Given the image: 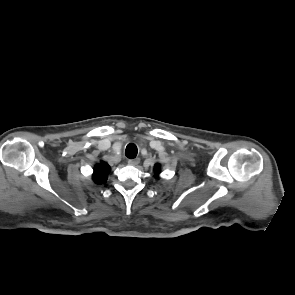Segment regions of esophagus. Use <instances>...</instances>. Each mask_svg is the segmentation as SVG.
Here are the masks:
<instances>
[{
	"label": "esophagus",
	"mask_w": 295,
	"mask_h": 295,
	"mask_svg": "<svg viewBox=\"0 0 295 295\" xmlns=\"http://www.w3.org/2000/svg\"><path fill=\"white\" fill-rule=\"evenodd\" d=\"M139 162H140V159H139V158L129 159V160H128V164H129V165H132V166L138 165Z\"/></svg>",
	"instance_id": "esophagus-1"
}]
</instances>
